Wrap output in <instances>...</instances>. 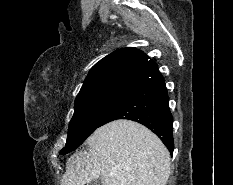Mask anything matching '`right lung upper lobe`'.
I'll list each match as a JSON object with an SVG mask.
<instances>
[{
    "instance_id": "right-lung-upper-lobe-1",
    "label": "right lung upper lobe",
    "mask_w": 233,
    "mask_h": 185,
    "mask_svg": "<svg viewBox=\"0 0 233 185\" xmlns=\"http://www.w3.org/2000/svg\"><path fill=\"white\" fill-rule=\"evenodd\" d=\"M157 74L156 63L146 54L135 48H123L93 66L78 95L107 88L132 90Z\"/></svg>"
}]
</instances>
